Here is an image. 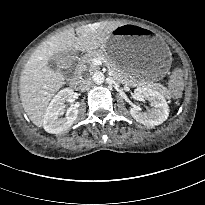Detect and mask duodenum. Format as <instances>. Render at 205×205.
<instances>
[{
	"label": "duodenum",
	"instance_id": "duodenum-1",
	"mask_svg": "<svg viewBox=\"0 0 205 205\" xmlns=\"http://www.w3.org/2000/svg\"><path fill=\"white\" fill-rule=\"evenodd\" d=\"M72 84L73 85H79V77H78V75H75V77H74V79L72 80Z\"/></svg>",
	"mask_w": 205,
	"mask_h": 205
}]
</instances>
